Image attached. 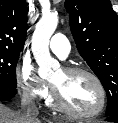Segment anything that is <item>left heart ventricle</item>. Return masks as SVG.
<instances>
[{
	"label": "left heart ventricle",
	"mask_w": 118,
	"mask_h": 123,
	"mask_svg": "<svg viewBox=\"0 0 118 123\" xmlns=\"http://www.w3.org/2000/svg\"><path fill=\"white\" fill-rule=\"evenodd\" d=\"M63 102L71 109L87 113L99 104V92L92 79L85 74H68L62 69L51 79Z\"/></svg>",
	"instance_id": "b2bd125f"
}]
</instances>
